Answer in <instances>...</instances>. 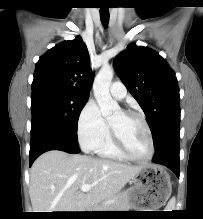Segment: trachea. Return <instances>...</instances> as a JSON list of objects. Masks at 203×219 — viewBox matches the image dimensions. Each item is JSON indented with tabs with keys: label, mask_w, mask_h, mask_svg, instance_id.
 Listing matches in <instances>:
<instances>
[{
	"label": "trachea",
	"mask_w": 203,
	"mask_h": 219,
	"mask_svg": "<svg viewBox=\"0 0 203 219\" xmlns=\"http://www.w3.org/2000/svg\"><path fill=\"white\" fill-rule=\"evenodd\" d=\"M101 22L106 26L109 22V11H100Z\"/></svg>",
	"instance_id": "1"
}]
</instances>
